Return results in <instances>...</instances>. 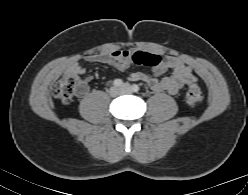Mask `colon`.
Returning a JSON list of instances; mask_svg holds the SVG:
<instances>
[{
	"instance_id": "5ec220e1",
	"label": "colon",
	"mask_w": 248,
	"mask_h": 195,
	"mask_svg": "<svg viewBox=\"0 0 248 195\" xmlns=\"http://www.w3.org/2000/svg\"><path fill=\"white\" fill-rule=\"evenodd\" d=\"M131 61L134 65L155 67L161 62V58L153 53L136 51L131 55ZM86 92L85 84L75 74H67L59 79L53 86L52 93L64 104H69L77 95ZM202 90L197 82L189 84L185 101L191 106H198L202 102Z\"/></svg>"
}]
</instances>
